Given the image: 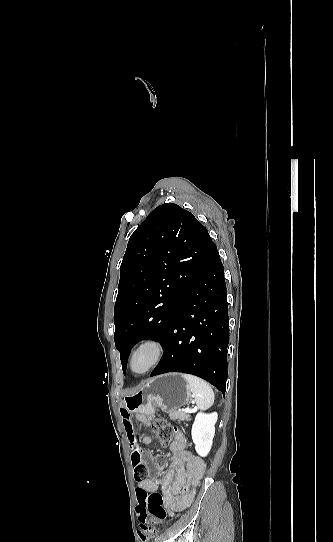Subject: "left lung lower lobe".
<instances>
[{"label":"left lung lower lobe","instance_id":"1","mask_svg":"<svg viewBox=\"0 0 333 542\" xmlns=\"http://www.w3.org/2000/svg\"><path fill=\"white\" fill-rule=\"evenodd\" d=\"M227 292L223 265L213 243L168 328L163 356L150 376L188 373L214 385L223 394L229 343Z\"/></svg>","mask_w":333,"mask_h":542}]
</instances>
